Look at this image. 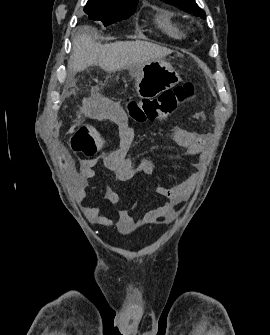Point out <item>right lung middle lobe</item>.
Here are the masks:
<instances>
[{
  "mask_svg": "<svg viewBox=\"0 0 270 335\" xmlns=\"http://www.w3.org/2000/svg\"><path fill=\"white\" fill-rule=\"evenodd\" d=\"M137 4L121 6H100L88 0L84 12L89 19L101 21L104 26L129 18L136 10Z\"/></svg>",
  "mask_w": 270,
  "mask_h": 335,
  "instance_id": "obj_1",
  "label": "right lung middle lobe"
}]
</instances>
